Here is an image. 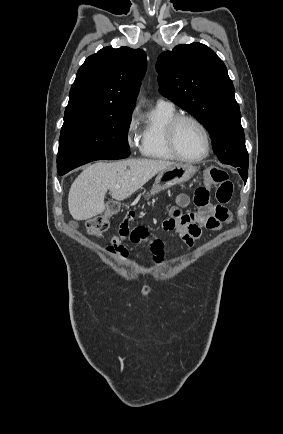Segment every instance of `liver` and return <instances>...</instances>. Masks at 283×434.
Returning a JSON list of instances; mask_svg holds the SVG:
<instances>
[{"instance_id":"obj_1","label":"liver","mask_w":283,"mask_h":434,"mask_svg":"<svg viewBox=\"0 0 283 434\" xmlns=\"http://www.w3.org/2000/svg\"><path fill=\"white\" fill-rule=\"evenodd\" d=\"M174 164L150 159L94 163L85 168L71 185L69 212L75 220L90 219L105 210L104 198L108 190L113 199L125 200L157 173Z\"/></svg>"}]
</instances>
